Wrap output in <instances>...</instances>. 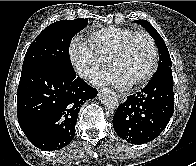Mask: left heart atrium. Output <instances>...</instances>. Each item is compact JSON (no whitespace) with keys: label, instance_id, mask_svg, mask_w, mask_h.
<instances>
[{"label":"left heart atrium","instance_id":"obj_1","mask_svg":"<svg viewBox=\"0 0 196 166\" xmlns=\"http://www.w3.org/2000/svg\"><path fill=\"white\" fill-rule=\"evenodd\" d=\"M94 84L103 85L110 84L118 89H124L131 85L115 68L101 71L92 78Z\"/></svg>","mask_w":196,"mask_h":166}]
</instances>
